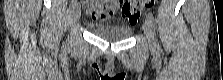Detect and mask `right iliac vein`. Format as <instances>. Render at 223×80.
Returning a JSON list of instances; mask_svg holds the SVG:
<instances>
[{
  "label": "right iliac vein",
  "instance_id": "1",
  "mask_svg": "<svg viewBox=\"0 0 223 80\" xmlns=\"http://www.w3.org/2000/svg\"><path fill=\"white\" fill-rule=\"evenodd\" d=\"M81 15V9L79 6H76L73 10V22L76 23Z\"/></svg>",
  "mask_w": 223,
  "mask_h": 80
}]
</instances>
